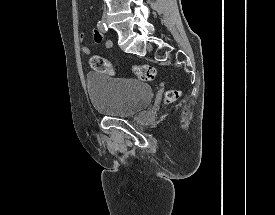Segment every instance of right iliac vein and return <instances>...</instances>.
<instances>
[{"instance_id": "1", "label": "right iliac vein", "mask_w": 275, "mask_h": 215, "mask_svg": "<svg viewBox=\"0 0 275 215\" xmlns=\"http://www.w3.org/2000/svg\"><path fill=\"white\" fill-rule=\"evenodd\" d=\"M104 21L107 23V18L106 17H104Z\"/></svg>"}]
</instances>
